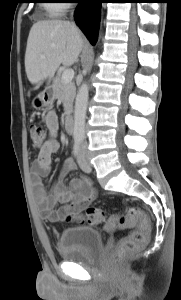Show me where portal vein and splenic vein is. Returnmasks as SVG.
Here are the masks:
<instances>
[{
  "instance_id": "18ae733b",
  "label": "portal vein and splenic vein",
  "mask_w": 181,
  "mask_h": 300,
  "mask_svg": "<svg viewBox=\"0 0 181 300\" xmlns=\"http://www.w3.org/2000/svg\"><path fill=\"white\" fill-rule=\"evenodd\" d=\"M74 77V71L72 69L65 70L62 74V82L65 84L71 83Z\"/></svg>"
}]
</instances>
